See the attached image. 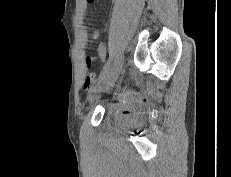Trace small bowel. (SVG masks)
<instances>
[{
    "label": "small bowel",
    "instance_id": "c3829d8e",
    "mask_svg": "<svg viewBox=\"0 0 231 177\" xmlns=\"http://www.w3.org/2000/svg\"><path fill=\"white\" fill-rule=\"evenodd\" d=\"M94 36H97V32L95 31ZM98 54L100 57L104 58L106 56V50L105 48L101 45L99 46V49H98ZM92 61H93V58L92 57H86L85 58V65L86 67H90L91 64H92ZM95 84V77L93 74H87L86 77H85V80H84V87L86 89H91Z\"/></svg>",
    "mask_w": 231,
    "mask_h": 177
}]
</instances>
